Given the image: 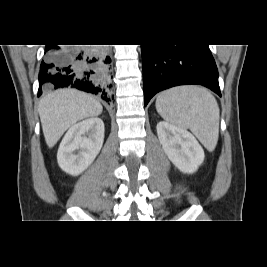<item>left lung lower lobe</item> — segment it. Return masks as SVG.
I'll list each match as a JSON object with an SVG mask.
<instances>
[{"mask_svg":"<svg viewBox=\"0 0 267 267\" xmlns=\"http://www.w3.org/2000/svg\"><path fill=\"white\" fill-rule=\"evenodd\" d=\"M144 104L170 87L199 84L221 96L208 45H141Z\"/></svg>","mask_w":267,"mask_h":267,"instance_id":"obj_1","label":"left lung lower lobe"}]
</instances>
